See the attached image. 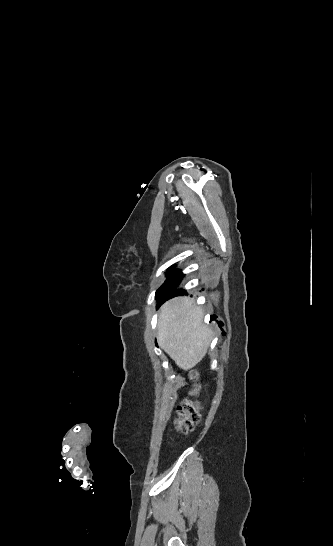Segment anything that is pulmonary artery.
<instances>
[{
  "label": "pulmonary artery",
  "instance_id": "1",
  "mask_svg": "<svg viewBox=\"0 0 333 546\" xmlns=\"http://www.w3.org/2000/svg\"><path fill=\"white\" fill-rule=\"evenodd\" d=\"M272 14H283L282 12L272 13Z\"/></svg>",
  "mask_w": 333,
  "mask_h": 546
}]
</instances>
